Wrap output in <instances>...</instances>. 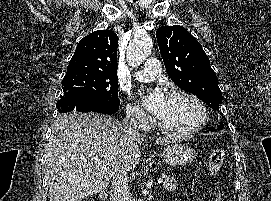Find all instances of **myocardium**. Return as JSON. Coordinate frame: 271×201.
I'll return each instance as SVG.
<instances>
[{"instance_id": "1", "label": "myocardium", "mask_w": 271, "mask_h": 201, "mask_svg": "<svg viewBox=\"0 0 271 201\" xmlns=\"http://www.w3.org/2000/svg\"><path fill=\"white\" fill-rule=\"evenodd\" d=\"M172 97H184V98H187V99L191 100L192 102H194L200 110L201 120L196 126L190 128L188 130L175 131V130H172V129H169L168 127H166L158 119L157 126L162 133L169 135V136H174V137H189V136H192L195 133L199 132L200 130H202L208 124L209 112L207 110L205 103L198 96H196L195 94H193L191 92L182 90V89H173L167 94V98H172Z\"/></svg>"}]
</instances>
